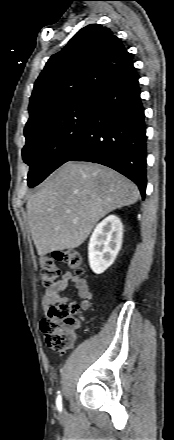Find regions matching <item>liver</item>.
<instances>
[{
	"label": "liver",
	"instance_id": "6515ba94",
	"mask_svg": "<svg viewBox=\"0 0 174 440\" xmlns=\"http://www.w3.org/2000/svg\"><path fill=\"white\" fill-rule=\"evenodd\" d=\"M139 199L137 186L95 163L67 162L27 201V219L38 255L79 247L96 223Z\"/></svg>",
	"mask_w": 174,
	"mask_h": 440
}]
</instances>
